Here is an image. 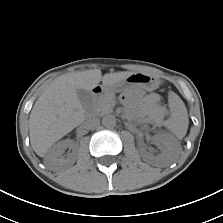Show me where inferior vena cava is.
Segmentation results:
<instances>
[{
    "label": "inferior vena cava",
    "mask_w": 223,
    "mask_h": 223,
    "mask_svg": "<svg viewBox=\"0 0 223 223\" xmlns=\"http://www.w3.org/2000/svg\"><path fill=\"white\" fill-rule=\"evenodd\" d=\"M99 125L100 119L97 117H90L84 123L85 128L90 130L97 128Z\"/></svg>",
    "instance_id": "obj_1"
}]
</instances>
